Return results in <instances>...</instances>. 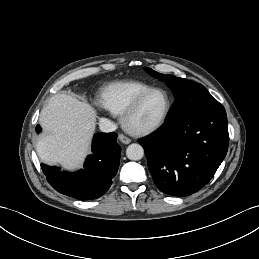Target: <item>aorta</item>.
<instances>
[{
    "label": "aorta",
    "instance_id": "762f6f07",
    "mask_svg": "<svg viewBox=\"0 0 259 259\" xmlns=\"http://www.w3.org/2000/svg\"><path fill=\"white\" fill-rule=\"evenodd\" d=\"M126 156L130 160H140L144 156V149L141 145L133 143L127 147Z\"/></svg>",
    "mask_w": 259,
    "mask_h": 259
}]
</instances>
